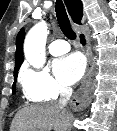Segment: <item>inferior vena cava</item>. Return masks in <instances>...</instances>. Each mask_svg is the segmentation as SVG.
I'll return each mask as SVG.
<instances>
[{"label": "inferior vena cava", "mask_w": 117, "mask_h": 131, "mask_svg": "<svg viewBox=\"0 0 117 131\" xmlns=\"http://www.w3.org/2000/svg\"><path fill=\"white\" fill-rule=\"evenodd\" d=\"M72 88L61 86L60 87V99H59V106L65 107L67 105V102L69 101L71 95H72Z\"/></svg>", "instance_id": "1"}]
</instances>
